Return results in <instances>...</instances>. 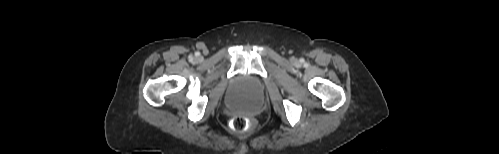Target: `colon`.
Returning a JSON list of instances; mask_svg holds the SVG:
<instances>
[{
  "label": "colon",
  "instance_id": "1",
  "mask_svg": "<svg viewBox=\"0 0 499 154\" xmlns=\"http://www.w3.org/2000/svg\"><path fill=\"white\" fill-rule=\"evenodd\" d=\"M251 125L250 120L242 116H236L231 121V126L235 131L242 132L248 129Z\"/></svg>",
  "mask_w": 499,
  "mask_h": 154
}]
</instances>
